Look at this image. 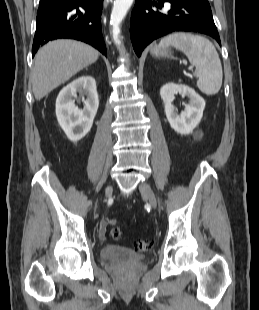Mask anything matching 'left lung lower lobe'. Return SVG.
Listing matches in <instances>:
<instances>
[{"label": "left lung lower lobe", "instance_id": "obj_1", "mask_svg": "<svg viewBox=\"0 0 259 310\" xmlns=\"http://www.w3.org/2000/svg\"><path fill=\"white\" fill-rule=\"evenodd\" d=\"M164 2L171 3L169 10H162ZM173 31L204 33L220 44L208 0H136L130 34L138 57L153 40Z\"/></svg>", "mask_w": 259, "mask_h": 310}]
</instances>
